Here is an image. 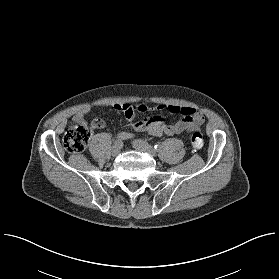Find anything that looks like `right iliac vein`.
<instances>
[{
	"mask_svg": "<svg viewBox=\"0 0 279 279\" xmlns=\"http://www.w3.org/2000/svg\"><path fill=\"white\" fill-rule=\"evenodd\" d=\"M121 151V147L120 146H117V145H114L111 149V154L113 156H117Z\"/></svg>",
	"mask_w": 279,
	"mask_h": 279,
	"instance_id": "63e3f726",
	"label": "right iliac vein"
}]
</instances>
